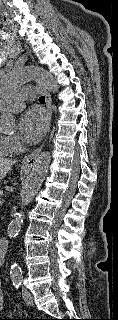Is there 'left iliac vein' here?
<instances>
[{"label": "left iliac vein", "instance_id": "4c4485c4", "mask_svg": "<svg viewBox=\"0 0 118 320\" xmlns=\"http://www.w3.org/2000/svg\"><path fill=\"white\" fill-rule=\"evenodd\" d=\"M22 297H23L24 302L27 305H32L33 304V297L31 295V293L25 288H22Z\"/></svg>", "mask_w": 118, "mask_h": 320}]
</instances>
